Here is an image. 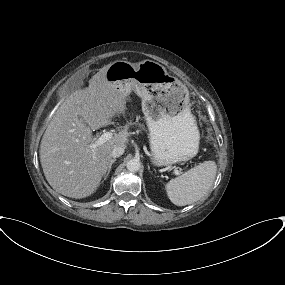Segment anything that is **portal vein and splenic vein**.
Instances as JSON below:
<instances>
[{
  "label": "portal vein and splenic vein",
  "mask_w": 285,
  "mask_h": 285,
  "mask_svg": "<svg viewBox=\"0 0 285 285\" xmlns=\"http://www.w3.org/2000/svg\"><path fill=\"white\" fill-rule=\"evenodd\" d=\"M113 137V133L108 131V132H104L94 143L91 144V147L93 149H95L96 147L104 144L105 142H107L108 140H110ZM93 158L95 159V152H93ZM175 174L178 175L179 171L176 169L175 170Z\"/></svg>",
  "instance_id": "18ae733b"
}]
</instances>
